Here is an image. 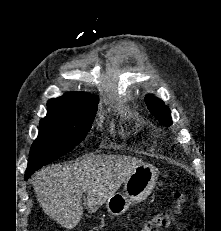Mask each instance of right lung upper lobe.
<instances>
[{
  "label": "right lung upper lobe",
  "instance_id": "cb5924a9",
  "mask_svg": "<svg viewBox=\"0 0 221 231\" xmlns=\"http://www.w3.org/2000/svg\"><path fill=\"white\" fill-rule=\"evenodd\" d=\"M97 104L98 98L87 93L69 92L62 97L50 99L47 103V111L53 114H76Z\"/></svg>",
  "mask_w": 221,
  "mask_h": 231
}]
</instances>
